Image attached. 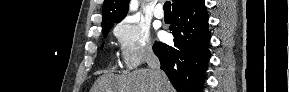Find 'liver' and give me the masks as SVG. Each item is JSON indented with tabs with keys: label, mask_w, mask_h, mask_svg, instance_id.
I'll use <instances>...</instances> for the list:
<instances>
[{
	"label": "liver",
	"mask_w": 289,
	"mask_h": 92,
	"mask_svg": "<svg viewBox=\"0 0 289 92\" xmlns=\"http://www.w3.org/2000/svg\"><path fill=\"white\" fill-rule=\"evenodd\" d=\"M91 92H174L165 75L161 89L151 69H139L126 75L106 73L99 77Z\"/></svg>",
	"instance_id": "obj_1"
}]
</instances>
